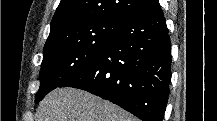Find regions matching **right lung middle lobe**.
I'll use <instances>...</instances> for the list:
<instances>
[{
  "label": "right lung middle lobe",
  "instance_id": "right-lung-middle-lobe-1",
  "mask_svg": "<svg viewBox=\"0 0 217 121\" xmlns=\"http://www.w3.org/2000/svg\"><path fill=\"white\" fill-rule=\"evenodd\" d=\"M123 23L117 20L82 23L45 44L35 102L95 61Z\"/></svg>",
  "mask_w": 217,
  "mask_h": 121
}]
</instances>
